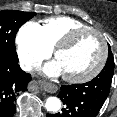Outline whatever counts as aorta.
<instances>
[{"instance_id": "762f6f07", "label": "aorta", "mask_w": 117, "mask_h": 117, "mask_svg": "<svg viewBox=\"0 0 117 117\" xmlns=\"http://www.w3.org/2000/svg\"><path fill=\"white\" fill-rule=\"evenodd\" d=\"M45 108H46L49 112H53V113L58 112L59 109L61 108V101H60V99L57 98V97H49V98L46 100Z\"/></svg>"}]
</instances>
